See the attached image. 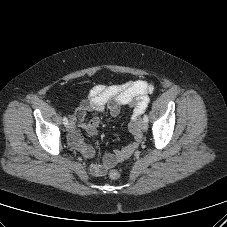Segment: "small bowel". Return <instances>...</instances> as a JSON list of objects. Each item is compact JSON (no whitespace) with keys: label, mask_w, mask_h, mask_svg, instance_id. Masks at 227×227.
Returning <instances> with one entry per match:
<instances>
[{"label":"small bowel","mask_w":227,"mask_h":227,"mask_svg":"<svg viewBox=\"0 0 227 227\" xmlns=\"http://www.w3.org/2000/svg\"><path fill=\"white\" fill-rule=\"evenodd\" d=\"M153 91V86L146 81H131L121 85H96L87 96L83 99L75 113V119L80 128L85 130L89 135H95L99 126V119L92 118L85 120V114L88 110L96 111L107 110L112 117H116L122 107L132 106V116L129 124L130 133L133 135V141L121 149L115 150L104 156L101 163H91L89 166L90 173L94 176H102L106 171L116 163L129 158L137 149L141 142V134L137 120L146 110L149 97ZM69 143L76 148L85 158L93 155L92 148L84 142L78 129L74 128L69 133Z\"/></svg>","instance_id":"obj_1"}]
</instances>
